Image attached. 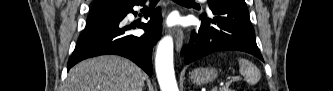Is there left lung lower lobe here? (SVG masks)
Returning <instances> with one entry per match:
<instances>
[{
  "instance_id": "left-lung-lower-lobe-1",
  "label": "left lung lower lobe",
  "mask_w": 333,
  "mask_h": 91,
  "mask_svg": "<svg viewBox=\"0 0 333 91\" xmlns=\"http://www.w3.org/2000/svg\"><path fill=\"white\" fill-rule=\"evenodd\" d=\"M209 7L214 16L201 15V26L181 52L183 62L189 64L217 51H243L263 61L245 0H217Z\"/></svg>"
}]
</instances>
